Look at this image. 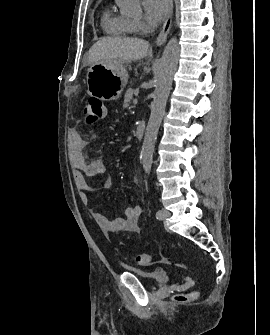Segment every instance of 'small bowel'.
Here are the masks:
<instances>
[{"label":"small bowel","mask_w":270,"mask_h":335,"mask_svg":"<svg viewBox=\"0 0 270 335\" xmlns=\"http://www.w3.org/2000/svg\"><path fill=\"white\" fill-rule=\"evenodd\" d=\"M85 141L76 129H71L68 133V157L72 167L73 179L79 197L83 204H89L88 191L91 187L88 183V178L96 175H101L106 172V166L102 160H88L84 153ZM113 183L110 178L104 182L107 189L112 187ZM98 226L105 232H135L139 229V221L142 215V208L138 205L131 206L125 209L123 217L109 219L103 214L92 212Z\"/></svg>","instance_id":"obj_1"}]
</instances>
